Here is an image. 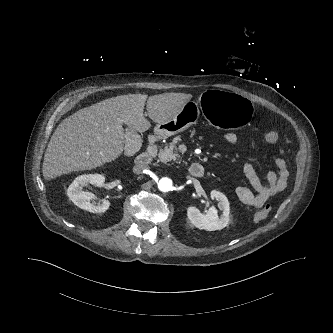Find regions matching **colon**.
<instances>
[{"instance_id":"1","label":"colon","mask_w":333,"mask_h":333,"mask_svg":"<svg viewBox=\"0 0 333 333\" xmlns=\"http://www.w3.org/2000/svg\"><path fill=\"white\" fill-rule=\"evenodd\" d=\"M278 138H279L278 133L273 130L266 132V134L264 135V141L270 144L276 143L278 141ZM271 210H272V203L267 202L264 205V207L255 214L254 216L255 220L256 221L264 220L269 215Z\"/></svg>"}]
</instances>
